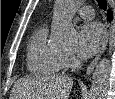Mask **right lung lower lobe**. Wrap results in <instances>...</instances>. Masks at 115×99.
Returning <instances> with one entry per match:
<instances>
[{
  "label": "right lung lower lobe",
  "mask_w": 115,
  "mask_h": 99,
  "mask_svg": "<svg viewBox=\"0 0 115 99\" xmlns=\"http://www.w3.org/2000/svg\"><path fill=\"white\" fill-rule=\"evenodd\" d=\"M108 18L111 20L112 19V14L109 12L108 13Z\"/></svg>",
  "instance_id": "1"
}]
</instances>
